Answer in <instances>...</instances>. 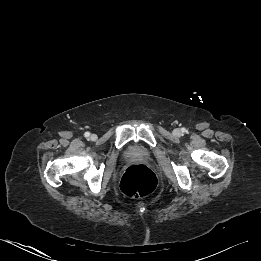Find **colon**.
<instances>
[{
  "label": "colon",
  "instance_id": "obj_1",
  "mask_svg": "<svg viewBox=\"0 0 261 261\" xmlns=\"http://www.w3.org/2000/svg\"><path fill=\"white\" fill-rule=\"evenodd\" d=\"M155 174L145 165L128 167L120 179V190L128 197H141L151 193L156 187Z\"/></svg>",
  "mask_w": 261,
  "mask_h": 261
}]
</instances>
